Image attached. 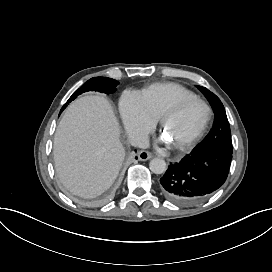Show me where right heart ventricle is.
I'll list each match as a JSON object with an SVG mask.
<instances>
[{
    "label": "right heart ventricle",
    "mask_w": 272,
    "mask_h": 272,
    "mask_svg": "<svg viewBox=\"0 0 272 272\" xmlns=\"http://www.w3.org/2000/svg\"><path fill=\"white\" fill-rule=\"evenodd\" d=\"M147 110L156 118L161 117L163 110L177 98H196V96L184 87L168 83L155 84L138 94Z\"/></svg>",
    "instance_id": "e07e8e85"
}]
</instances>
